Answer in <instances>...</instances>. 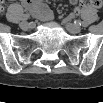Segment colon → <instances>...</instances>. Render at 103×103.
Masks as SVG:
<instances>
[{"instance_id": "5ec220e1", "label": "colon", "mask_w": 103, "mask_h": 103, "mask_svg": "<svg viewBox=\"0 0 103 103\" xmlns=\"http://www.w3.org/2000/svg\"><path fill=\"white\" fill-rule=\"evenodd\" d=\"M81 5L82 6H90V7H94V8H100L101 7V1L100 0H88V1H83L81 3Z\"/></svg>"}]
</instances>
